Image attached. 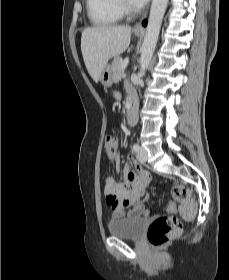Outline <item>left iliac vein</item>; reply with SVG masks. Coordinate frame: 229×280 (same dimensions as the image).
Wrapping results in <instances>:
<instances>
[{"mask_svg":"<svg viewBox=\"0 0 229 280\" xmlns=\"http://www.w3.org/2000/svg\"><path fill=\"white\" fill-rule=\"evenodd\" d=\"M138 158L142 162H146L148 159L147 151L144 147H140L138 151Z\"/></svg>","mask_w":229,"mask_h":280,"instance_id":"left-iliac-vein-1","label":"left iliac vein"}]
</instances>
